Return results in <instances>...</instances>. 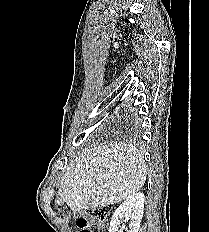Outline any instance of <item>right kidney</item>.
Instances as JSON below:
<instances>
[{
  "label": "right kidney",
  "mask_w": 209,
  "mask_h": 232,
  "mask_svg": "<svg viewBox=\"0 0 209 232\" xmlns=\"http://www.w3.org/2000/svg\"><path fill=\"white\" fill-rule=\"evenodd\" d=\"M145 197L143 193H135L127 198L114 212L109 232H123L125 226L121 227L123 219L130 220L127 232H138L144 211Z\"/></svg>",
  "instance_id": "1"
}]
</instances>
